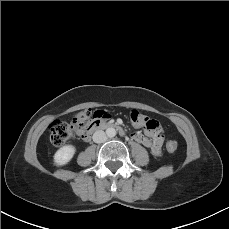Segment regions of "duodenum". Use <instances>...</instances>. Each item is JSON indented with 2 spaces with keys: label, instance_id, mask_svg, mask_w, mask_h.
Returning <instances> with one entry per match:
<instances>
[{
  "label": "duodenum",
  "instance_id": "duodenum-1",
  "mask_svg": "<svg viewBox=\"0 0 229 229\" xmlns=\"http://www.w3.org/2000/svg\"><path fill=\"white\" fill-rule=\"evenodd\" d=\"M108 127H114L116 128L122 135L125 134V131L124 129L116 124V123H113V122H107V121H104V120H96L94 122L91 123V125L89 126L88 128V132L89 133H92V132H95L99 129H104V128H108Z\"/></svg>",
  "mask_w": 229,
  "mask_h": 229
}]
</instances>
